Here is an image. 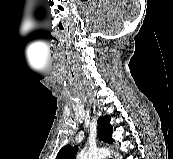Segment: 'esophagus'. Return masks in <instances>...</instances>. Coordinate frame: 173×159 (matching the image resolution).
Segmentation results:
<instances>
[{
	"label": "esophagus",
	"instance_id": "34e87169",
	"mask_svg": "<svg viewBox=\"0 0 173 159\" xmlns=\"http://www.w3.org/2000/svg\"><path fill=\"white\" fill-rule=\"evenodd\" d=\"M108 159H112V157H108Z\"/></svg>",
	"mask_w": 173,
	"mask_h": 159
}]
</instances>
